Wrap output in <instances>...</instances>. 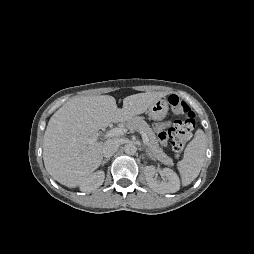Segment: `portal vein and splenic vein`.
Wrapping results in <instances>:
<instances>
[{
	"label": "portal vein and splenic vein",
	"mask_w": 254,
	"mask_h": 254,
	"mask_svg": "<svg viewBox=\"0 0 254 254\" xmlns=\"http://www.w3.org/2000/svg\"><path fill=\"white\" fill-rule=\"evenodd\" d=\"M125 133H127L126 128H113L109 132H107V134L104 137L105 138H111V137L123 135ZM140 133L142 135L143 143L145 145H147V143H148L147 135L142 131H140ZM93 140H95V138Z\"/></svg>",
	"instance_id": "18ae733b"
}]
</instances>
